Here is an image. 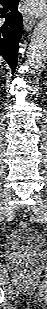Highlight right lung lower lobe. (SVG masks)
I'll return each mask as SVG.
<instances>
[{
	"mask_svg": "<svg viewBox=\"0 0 47 309\" xmlns=\"http://www.w3.org/2000/svg\"><path fill=\"white\" fill-rule=\"evenodd\" d=\"M20 0H0L3 8H0V55L8 62L12 69V74L15 72L19 39L22 33V17L17 11V6ZM7 9L12 12L5 14Z\"/></svg>",
	"mask_w": 47,
	"mask_h": 309,
	"instance_id": "right-lung-lower-lobe-1",
	"label": "right lung lower lobe"
}]
</instances>
